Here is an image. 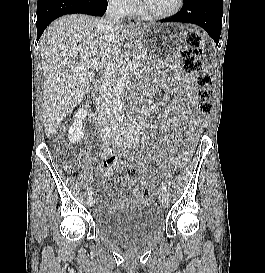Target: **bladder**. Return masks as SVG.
Segmentation results:
<instances>
[{
  "mask_svg": "<svg viewBox=\"0 0 265 273\" xmlns=\"http://www.w3.org/2000/svg\"><path fill=\"white\" fill-rule=\"evenodd\" d=\"M165 221L155 204L129 203L97 219L100 233L127 248L148 243L162 234Z\"/></svg>",
  "mask_w": 265,
  "mask_h": 273,
  "instance_id": "bladder-1",
  "label": "bladder"
}]
</instances>
